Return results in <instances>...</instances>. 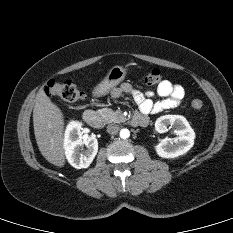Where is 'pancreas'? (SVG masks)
Masks as SVG:
<instances>
[{
    "instance_id": "pancreas-1",
    "label": "pancreas",
    "mask_w": 233,
    "mask_h": 233,
    "mask_svg": "<svg viewBox=\"0 0 233 233\" xmlns=\"http://www.w3.org/2000/svg\"><path fill=\"white\" fill-rule=\"evenodd\" d=\"M97 113L103 117L107 122H114V123H119L123 122L125 119L123 118L121 112L118 111H113L110 108H103L99 109Z\"/></svg>"
}]
</instances>
